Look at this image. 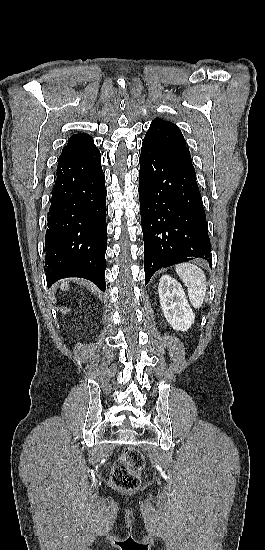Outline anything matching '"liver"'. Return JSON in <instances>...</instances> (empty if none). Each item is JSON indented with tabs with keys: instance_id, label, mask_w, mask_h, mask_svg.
Wrapping results in <instances>:
<instances>
[{
	"instance_id": "liver-1",
	"label": "liver",
	"mask_w": 265,
	"mask_h": 550,
	"mask_svg": "<svg viewBox=\"0 0 265 550\" xmlns=\"http://www.w3.org/2000/svg\"><path fill=\"white\" fill-rule=\"evenodd\" d=\"M60 288H61V290H63V291L68 290V288H69V280L66 279L65 281H62V282L60 283Z\"/></svg>"
}]
</instances>
